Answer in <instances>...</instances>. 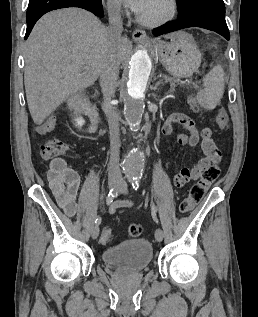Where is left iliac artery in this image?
<instances>
[{
    "label": "left iliac artery",
    "instance_id": "44dca946",
    "mask_svg": "<svg viewBox=\"0 0 258 317\" xmlns=\"http://www.w3.org/2000/svg\"><path fill=\"white\" fill-rule=\"evenodd\" d=\"M139 182H140V177H132L130 179L131 186L135 191H137L139 188ZM151 215H152L154 222L158 224L159 220L157 217V208H156L154 203L151 204Z\"/></svg>",
    "mask_w": 258,
    "mask_h": 317
}]
</instances>
